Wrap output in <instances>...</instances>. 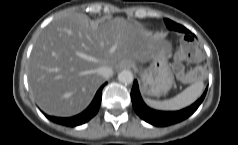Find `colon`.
Masks as SVG:
<instances>
[{
	"label": "colon",
	"mask_w": 238,
	"mask_h": 145,
	"mask_svg": "<svg viewBox=\"0 0 238 145\" xmlns=\"http://www.w3.org/2000/svg\"><path fill=\"white\" fill-rule=\"evenodd\" d=\"M202 59L200 47L192 38H186L178 44L177 54L173 65L176 76L183 82L193 83L201 80L205 76L202 68H195L186 72L183 62L197 63Z\"/></svg>",
	"instance_id": "obj_1"
}]
</instances>
